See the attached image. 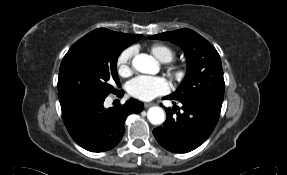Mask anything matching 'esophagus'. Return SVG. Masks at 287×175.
Wrapping results in <instances>:
<instances>
[{"label":"esophagus","mask_w":287,"mask_h":175,"mask_svg":"<svg viewBox=\"0 0 287 175\" xmlns=\"http://www.w3.org/2000/svg\"><path fill=\"white\" fill-rule=\"evenodd\" d=\"M152 105H153L152 102H145V103H144V107H145V108H149V107H151Z\"/></svg>","instance_id":"1"}]
</instances>
